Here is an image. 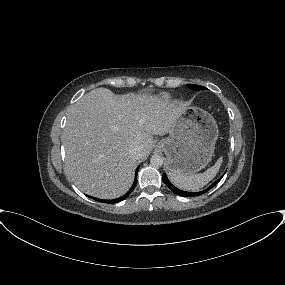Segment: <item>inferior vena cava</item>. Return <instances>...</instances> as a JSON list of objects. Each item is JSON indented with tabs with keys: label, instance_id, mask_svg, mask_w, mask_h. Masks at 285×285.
Segmentation results:
<instances>
[{
	"label": "inferior vena cava",
	"instance_id": "obj_1",
	"mask_svg": "<svg viewBox=\"0 0 285 285\" xmlns=\"http://www.w3.org/2000/svg\"><path fill=\"white\" fill-rule=\"evenodd\" d=\"M140 153H141V147L136 143L132 144L130 147V154L133 157L138 158Z\"/></svg>",
	"mask_w": 285,
	"mask_h": 285
}]
</instances>
